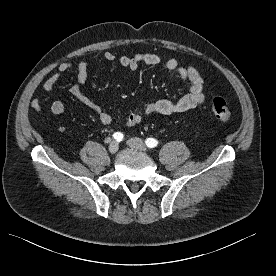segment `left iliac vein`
<instances>
[{
    "label": "left iliac vein",
    "mask_w": 276,
    "mask_h": 276,
    "mask_svg": "<svg viewBox=\"0 0 276 276\" xmlns=\"http://www.w3.org/2000/svg\"><path fill=\"white\" fill-rule=\"evenodd\" d=\"M127 144L129 145V147L139 150L141 152H146L147 151V147L144 144V142L139 139V138H131L127 141Z\"/></svg>",
    "instance_id": "left-iliac-vein-1"
}]
</instances>
